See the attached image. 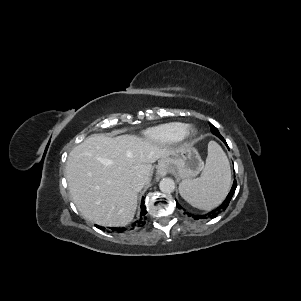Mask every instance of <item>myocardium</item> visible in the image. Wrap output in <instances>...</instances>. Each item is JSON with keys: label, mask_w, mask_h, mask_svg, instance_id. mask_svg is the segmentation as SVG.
<instances>
[{"label": "myocardium", "mask_w": 301, "mask_h": 301, "mask_svg": "<svg viewBox=\"0 0 301 301\" xmlns=\"http://www.w3.org/2000/svg\"><path fill=\"white\" fill-rule=\"evenodd\" d=\"M198 135V130L196 127L193 126H188L187 129L185 130L181 140L191 142L196 139Z\"/></svg>", "instance_id": "f54148a6"}]
</instances>
